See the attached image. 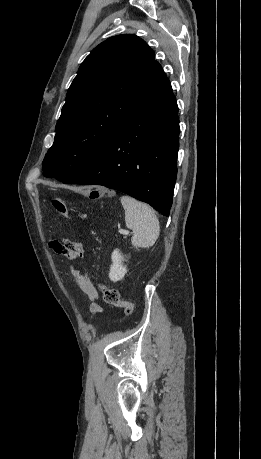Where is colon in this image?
<instances>
[{
    "mask_svg": "<svg viewBox=\"0 0 261 459\" xmlns=\"http://www.w3.org/2000/svg\"><path fill=\"white\" fill-rule=\"evenodd\" d=\"M76 197H90L91 199H97L103 196L101 190L96 188H76L75 189ZM52 205L55 210L63 217H68V207L66 202L58 197L52 199ZM98 287L102 293L103 300L106 304L122 308L126 315H131L134 311V304L129 301H123L120 299L119 292L103 284H98Z\"/></svg>",
    "mask_w": 261,
    "mask_h": 459,
    "instance_id": "1",
    "label": "colon"
}]
</instances>
